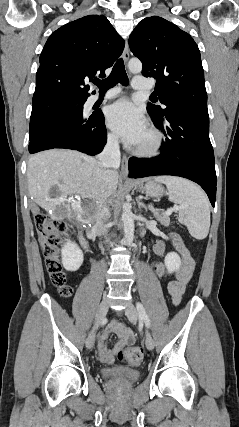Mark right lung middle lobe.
Here are the masks:
<instances>
[{
	"mask_svg": "<svg viewBox=\"0 0 239 427\" xmlns=\"http://www.w3.org/2000/svg\"><path fill=\"white\" fill-rule=\"evenodd\" d=\"M86 99L73 98L62 95H54L32 100V113L30 117V137L31 139L41 125L54 114L68 108H75L83 115V108Z\"/></svg>",
	"mask_w": 239,
	"mask_h": 427,
	"instance_id": "right-lung-middle-lobe-1",
	"label": "right lung middle lobe"
}]
</instances>
